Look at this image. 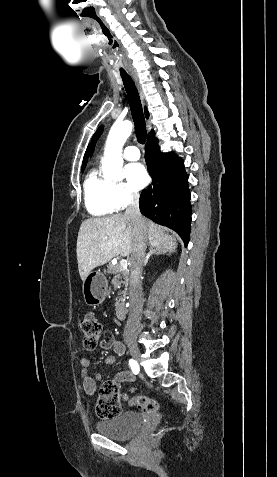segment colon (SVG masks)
<instances>
[{
  "mask_svg": "<svg viewBox=\"0 0 277 477\" xmlns=\"http://www.w3.org/2000/svg\"><path fill=\"white\" fill-rule=\"evenodd\" d=\"M80 330L83 336V346L87 350H93L102 333V325L98 318L91 314H85L80 319ZM131 402L145 413H153L158 410L156 400L147 396L135 398L122 397L119 385L114 381L105 382L100 390V398L96 404L97 414L102 418H110L122 412V402Z\"/></svg>",
  "mask_w": 277,
  "mask_h": 477,
  "instance_id": "1",
  "label": "colon"
}]
</instances>
